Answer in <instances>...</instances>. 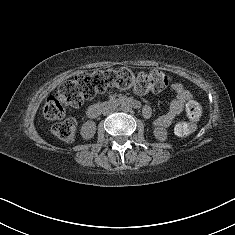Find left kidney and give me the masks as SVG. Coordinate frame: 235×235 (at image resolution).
<instances>
[{"label":"left kidney","mask_w":235,"mask_h":235,"mask_svg":"<svg viewBox=\"0 0 235 235\" xmlns=\"http://www.w3.org/2000/svg\"><path fill=\"white\" fill-rule=\"evenodd\" d=\"M162 133H165V132H163L162 130H157V132H156V134H157L158 136L165 135V134H162ZM163 137H165V136H163ZM160 138H162V137H160Z\"/></svg>","instance_id":"obj_1"}]
</instances>
